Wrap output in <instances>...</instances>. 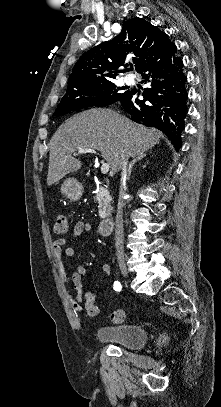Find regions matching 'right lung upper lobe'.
<instances>
[{"instance_id": "cb5924a9", "label": "right lung upper lobe", "mask_w": 221, "mask_h": 407, "mask_svg": "<svg viewBox=\"0 0 221 407\" xmlns=\"http://www.w3.org/2000/svg\"><path fill=\"white\" fill-rule=\"evenodd\" d=\"M171 44L168 35L142 18L126 21L114 39L84 53L72 69L67 92L89 88L112 80L130 60L140 73L162 57Z\"/></svg>"}]
</instances>
